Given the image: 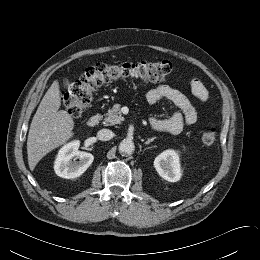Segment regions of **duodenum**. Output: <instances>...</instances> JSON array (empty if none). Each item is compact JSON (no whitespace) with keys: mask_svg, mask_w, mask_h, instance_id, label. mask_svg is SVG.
<instances>
[{"mask_svg":"<svg viewBox=\"0 0 260 260\" xmlns=\"http://www.w3.org/2000/svg\"><path fill=\"white\" fill-rule=\"evenodd\" d=\"M100 121H101V116L99 114H94L87 120V126L95 127L100 123Z\"/></svg>","mask_w":260,"mask_h":260,"instance_id":"410a0bca","label":"duodenum"}]
</instances>
